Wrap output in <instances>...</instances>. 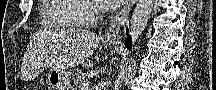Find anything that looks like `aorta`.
<instances>
[{
  "label": "aorta",
  "mask_w": 216,
  "mask_h": 90,
  "mask_svg": "<svg viewBox=\"0 0 216 90\" xmlns=\"http://www.w3.org/2000/svg\"><path fill=\"white\" fill-rule=\"evenodd\" d=\"M153 0H138L134 8V12L131 16L129 26V36L132 42V52L136 42L141 38L150 18V14L153 10ZM124 70L117 76L114 82V90H120L124 78Z\"/></svg>",
  "instance_id": "aorta-1"
}]
</instances>
